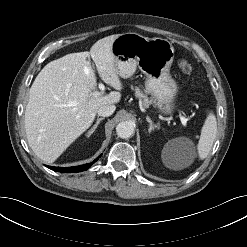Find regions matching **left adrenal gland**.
<instances>
[{
  "label": "left adrenal gland",
  "instance_id": "a2214340",
  "mask_svg": "<svg viewBox=\"0 0 247 247\" xmlns=\"http://www.w3.org/2000/svg\"><path fill=\"white\" fill-rule=\"evenodd\" d=\"M147 122L149 123L148 132L151 133L152 130L158 128L157 125L153 124L152 120L149 117H146Z\"/></svg>",
  "mask_w": 247,
  "mask_h": 247
}]
</instances>
